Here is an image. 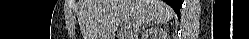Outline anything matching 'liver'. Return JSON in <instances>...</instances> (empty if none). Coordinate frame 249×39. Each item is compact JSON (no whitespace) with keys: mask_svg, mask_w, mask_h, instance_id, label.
<instances>
[{"mask_svg":"<svg viewBox=\"0 0 249 39\" xmlns=\"http://www.w3.org/2000/svg\"><path fill=\"white\" fill-rule=\"evenodd\" d=\"M174 11L160 0H83L79 21L84 39H113L120 20L131 28L141 23L168 22Z\"/></svg>","mask_w":249,"mask_h":39,"instance_id":"obj_1","label":"liver"}]
</instances>
